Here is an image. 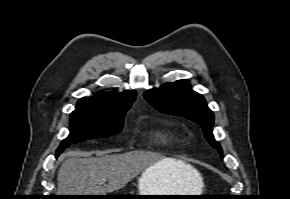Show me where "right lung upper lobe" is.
Segmentation results:
<instances>
[{"label": "right lung upper lobe", "mask_w": 290, "mask_h": 199, "mask_svg": "<svg viewBox=\"0 0 290 199\" xmlns=\"http://www.w3.org/2000/svg\"><path fill=\"white\" fill-rule=\"evenodd\" d=\"M135 91L123 93H98L94 97H84L77 103L75 111L97 114H116L130 109L135 100Z\"/></svg>", "instance_id": "right-lung-upper-lobe-1"}]
</instances>
